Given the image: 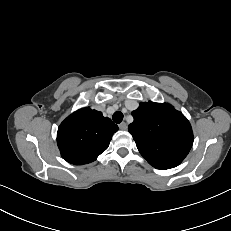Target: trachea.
<instances>
[{
	"label": "trachea",
	"mask_w": 231,
	"mask_h": 231,
	"mask_svg": "<svg viewBox=\"0 0 231 231\" xmlns=\"http://www.w3.org/2000/svg\"><path fill=\"white\" fill-rule=\"evenodd\" d=\"M123 113L122 112H120V111H117V112H115L114 114H113V116H112V119H113V121L115 122V123H121L122 122V120H123Z\"/></svg>",
	"instance_id": "trachea-1"
}]
</instances>
